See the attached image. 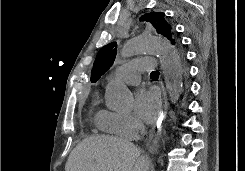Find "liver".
<instances>
[{"instance_id": "liver-1", "label": "liver", "mask_w": 245, "mask_h": 171, "mask_svg": "<svg viewBox=\"0 0 245 171\" xmlns=\"http://www.w3.org/2000/svg\"><path fill=\"white\" fill-rule=\"evenodd\" d=\"M65 171H149V163L133 143L112 136H91L71 152Z\"/></svg>"}]
</instances>
